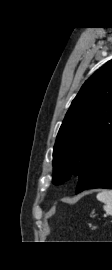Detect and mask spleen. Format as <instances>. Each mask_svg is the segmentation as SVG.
Masks as SVG:
<instances>
[{
  "mask_svg": "<svg viewBox=\"0 0 112 270\" xmlns=\"http://www.w3.org/2000/svg\"><path fill=\"white\" fill-rule=\"evenodd\" d=\"M97 199L104 203V210L112 216V190H103L97 194Z\"/></svg>",
  "mask_w": 112,
  "mask_h": 270,
  "instance_id": "1",
  "label": "spleen"
}]
</instances>
